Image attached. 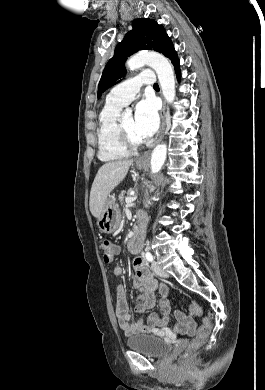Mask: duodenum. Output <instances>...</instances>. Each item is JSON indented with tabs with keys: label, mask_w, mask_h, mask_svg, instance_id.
<instances>
[{
	"label": "duodenum",
	"mask_w": 265,
	"mask_h": 390,
	"mask_svg": "<svg viewBox=\"0 0 265 390\" xmlns=\"http://www.w3.org/2000/svg\"><path fill=\"white\" fill-rule=\"evenodd\" d=\"M145 218L143 215H139L137 223L133 231V235L127 242V247L132 252H139L142 248L144 238Z\"/></svg>",
	"instance_id": "duodenum-1"
}]
</instances>
